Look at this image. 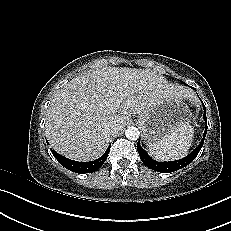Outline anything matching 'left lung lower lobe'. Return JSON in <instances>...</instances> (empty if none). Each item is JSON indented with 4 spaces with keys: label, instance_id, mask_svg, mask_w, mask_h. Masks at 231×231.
Wrapping results in <instances>:
<instances>
[{
    "label": "left lung lower lobe",
    "instance_id": "left-lung-lower-lobe-1",
    "mask_svg": "<svg viewBox=\"0 0 231 231\" xmlns=\"http://www.w3.org/2000/svg\"><path fill=\"white\" fill-rule=\"evenodd\" d=\"M202 102V101H201ZM203 104V102H202ZM204 107V120L206 121V128H205V132L203 135V138L199 144V146L194 149L188 156H186L185 158H182L180 160H176V161H169V162H157L155 160H153L148 153L140 146V143H137V150L140 156L141 161L144 163L145 166H147L148 168L157 171V172H162V173H169V172H174L177 171L185 166H187L188 164H190L198 155L200 149L203 146V142L207 133V118H206V111H205V105L203 104Z\"/></svg>",
    "mask_w": 231,
    "mask_h": 231
}]
</instances>
